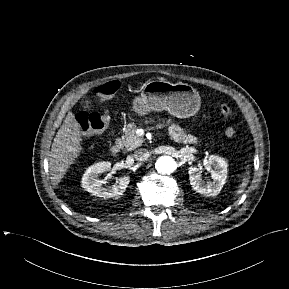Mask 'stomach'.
Here are the masks:
<instances>
[{
  "instance_id": "1",
  "label": "stomach",
  "mask_w": 289,
  "mask_h": 289,
  "mask_svg": "<svg viewBox=\"0 0 289 289\" xmlns=\"http://www.w3.org/2000/svg\"><path fill=\"white\" fill-rule=\"evenodd\" d=\"M200 101L199 93L191 85L151 80L144 84L141 95L133 100V109L140 116L165 110L178 118H188L199 111Z\"/></svg>"
}]
</instances>
